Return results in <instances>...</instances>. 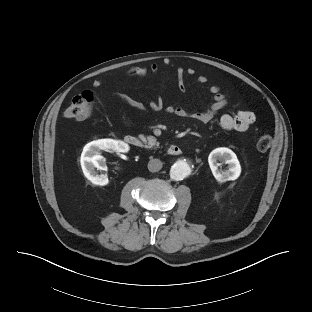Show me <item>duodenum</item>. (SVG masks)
<instances>
[{"label": "duodenum", "mask_w": 312, "mask_h": 312, "mask_svg": "<svg viewBox=\"0 0 312 312\" xmlns=\"http://www.w3.org/2000/svg\"><path fill=\"white\" fill-rule=\"evenodd\" d=\"M125 142L128 145L137 147V148H142L145 146V142L141 138L135 135H127L125 137ZM168 153L174 156L180 155L182 153V148L179 145H171L168 148Z\"/></svg>", "instance_id": "obj_1"}]
</instances>
